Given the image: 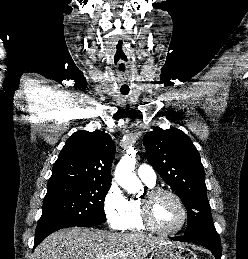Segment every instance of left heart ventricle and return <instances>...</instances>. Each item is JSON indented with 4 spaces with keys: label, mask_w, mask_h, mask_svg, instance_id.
<instances>
[{
    "label": "left heart ventricle",
    "mask_w": 248,
    "mask_h": 259,
    "mask_svg": "<svg viewBox=\"0 0 248 259\" xmlns=\"http://www.w3.org/2000/svg\"><path fill=\"white\" fill-rule=\"evenodd\" d=\"M155 224L162 230H173L181 221V210L174 199L167 195L157 197L152 205Z\"/></svg>",
    "instance_id": "obj_1"
}]
</instances>
